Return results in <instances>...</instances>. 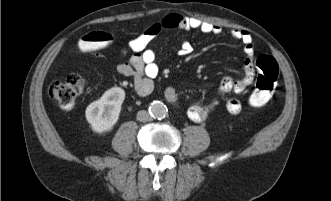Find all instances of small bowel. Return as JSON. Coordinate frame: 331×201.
Returning <instances> with one entry per match:
<instances>
[{
    "label": "small bowel",
    "mask_w": 331,
    "mask_h": 201,
    "mask_svg": "<svg viewBox=\"0 0 331 201\" xmlns=\"http://www.w3.org/2000/svg\"><path fill=\"white\" fill-rule=\"evenodd\" d=\"M162 29H177L183 31H200L204 34L218 35L222 32V27L211 24L194 17H187L179 14H170L161 21L152 24L137 37L128 42L127 47L121 49V54L126 56L129 51L132 54L124 62L117 66V71L127 77L132 78L135 92L139 96H147L153 90V80L158 75L159 68L156 63V53L149 48L150 42L160 33ZM230 36L244 44L245 61L244 76L239 80H234L230 76H224L217 89L218 96L208 103H196L187 110L188 117L194 122H203L209 114L219 107V96L226 93L235 92L242 94L254 80V46L251 34L242 29L230 30ZM191 52V45L184 41L177 54L186 56ZM166 100L171 104H177L178 93L172 86H168L164 91ZM225 108L230 114H238L242 109V103L238 98H229L225 103Z\"/></svg>",
    "instance_id": "small-bowel-1"
}]
</instances>
